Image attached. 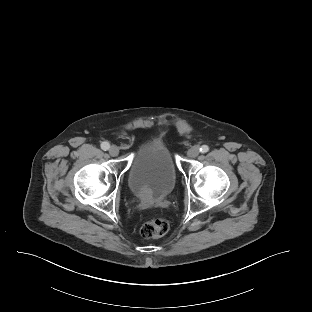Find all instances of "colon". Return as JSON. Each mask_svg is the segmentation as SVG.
Returning a JSON list of instances; mask_svg holds the SVG:
<instances>
[{"mask_svg":"<svg viewBox=\"0 0 312 312\" xmlns=\"http://www.w3.org/2000/svg\"><path fill=\"white\" fill-rule=\"evenodd\" d=\"M169 230V223L162 218H154L140 228V234L143 238L152 239L163 236Z\"/></svg>","mask_w":312,"mask_h":312,"instance_id":"obj_1","label":"colon"}]
</instances>
